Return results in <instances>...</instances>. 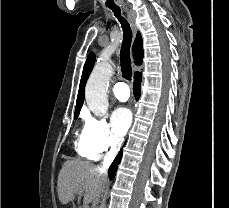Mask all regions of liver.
<instances>
[{
	"label": "liver",
	"instance_id": "liver-1",
	"mask_svg": "<svg viewBox=\"0 0 229 208\" xmlns=\"http://www.w3.org/2000/svg\"><path fill=\"white\" fill-rule=\"evenodd\" d=\"M106 182L99 174L97 166L91 162H82L80 158H71L64 162L58 176V196L61 204L73 202L76 194H84L85 204L94 200L98 204Z\"/></svg>",
	"mask_w": 229,
	"mask_h": 208
}]
</instances>
